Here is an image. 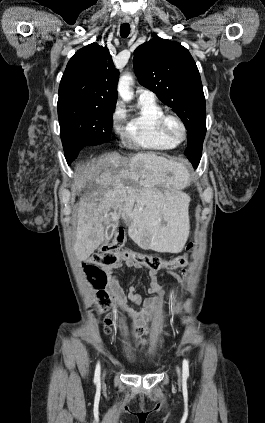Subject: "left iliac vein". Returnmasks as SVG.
Masks as SVG:
<instances>
[{
	"label": "left iliac vein",
	"mask_w": 265,
	"mask_h": 423,
	"mask_svg": "<svg viewBox=\"0 0 265 423\" xmlns=\"http://www.w3.org/2000/svg\"><path fill=\"white\" fill-rule=\"evenodd\" d=\"M176 371H177L179 379H181V370L178 366L176 367Z\"/></svg>",
	"instance_id": "obj_1"
}]
</instances>
